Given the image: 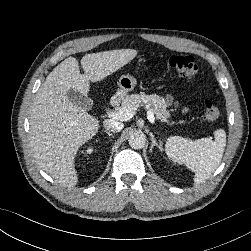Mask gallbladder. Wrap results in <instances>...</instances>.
Here are the masks:
<instances>
[{"label":"gallbladder","mask_w":251,"mask_h":251,"mask_svg":"<svg viewBox=\"0 0 251 251\" xmlns=\"http://www.w3.org/2000/svg\"><path fill=\"white\" fill-rule=\"evenodd\" d=\"M66 97L72 103L76 104L77 106H79L85 110H90L93 106V100L90 97L81 94L80 92H78L75 89H70L66 93Z\"/></svg>","instance_id":"1"}]
</instances>
